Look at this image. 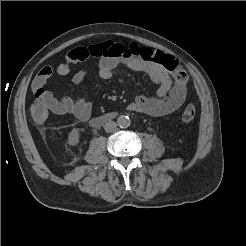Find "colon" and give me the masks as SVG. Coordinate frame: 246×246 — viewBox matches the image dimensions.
Listing matches in <instances>:
<instances>
[{"label": "colon", "mask_w": 246, "mask_h": 246, "mask_svg": "<svg viewBox=\"0 0 246 246\" xmlns=\"http://www.w3.org/2000/svg\"><path fill=\"white\" fill-rule=\"evenodd\" d=\"M138 55L144 61L154 62L164 67V69L170 73L176 83H187L188 76L186 71L172 56L161 51H152L145 47L139 48ZM49 112L50 107L46 99L45 90L43 88H39L36 90L35 98L31 103V117L36 124H42L48 118ZM195 115L196 108L194 105H188L183 110L182 120L184 122H190L195 118Z\"/></svg>", "instance_id": "5ec220e1"}]
</instances>
